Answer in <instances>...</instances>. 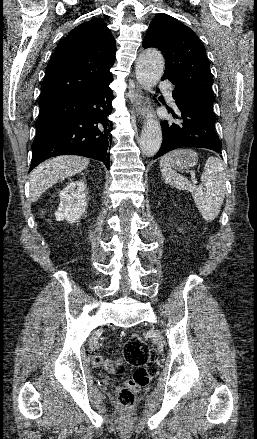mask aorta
I'll list each match as a JSON object with an SVG mask.
<instances>
[{
  "label": "aorta",
  "instance_id": "1",
  "mask_svg": "<svg viewBox=\"0 0 257 439\" xmlns=\"http://www.w3.org/2000/svg\"><path fill=\"white\" fill-rule=\"evenodd\" d=\"M164 72V58L153 48L144 50L136 63V78L147 91L159 81ZM162 143V130L159 121L152 113L147 115V120L140 137V148L145 156H154Z\"/></svg>",
  "mask_w": 257,
  "mask_h": 439
}]
</instances>
